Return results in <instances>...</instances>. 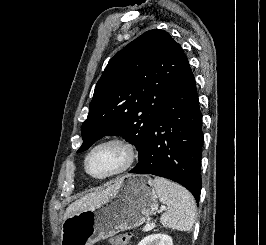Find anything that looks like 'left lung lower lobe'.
Listing matches in <instances>:
<instances>
[{
	"label": "left lung lower lobe",
	"mask_w": 266,
	"mask_h": 245,
	"mask_svg": "<svg viewBox=\"0 0 266 245\" xmlns=\"http://www.w3.org/2000/svg\"><path fill=\"white\" fill-rule=\"evenodd\" d=\"M203 139L196 83L188 63L151 124L139 163L129 173L173 180L198 202Z\"/></svg>",
	"instance_id": "left-lung-lower-lobe-1"
}]
</instances>
